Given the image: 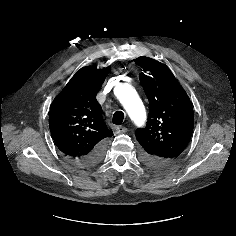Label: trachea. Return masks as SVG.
Wrapping results in <instances>:
<instances>
[{
    "label": "trachea",
    "instance_id": "trachea-1",
    "mask_svg": "<svg viewBox=\"0 0 236 236\" xmlns=\"http://www.w3.org/2000/svg\"><path fill=\"white\" fill-rule=\"evenodd\" d=\"M124 120V113L121 111H116L113 115L112 122L115 125H121Z\"/></svg>",
    "mask_w": 236,
    "mask_h": 236
}]
</instances>
